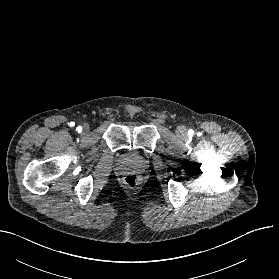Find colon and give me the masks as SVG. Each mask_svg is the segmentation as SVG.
I'll return each instance as SVG.
<instances>
[{
    "instance_id": "colon-1",
    "label": "colon",
    "mask_w": 279,
    "mask_h": 279,
    "mask_svg": "<svg viewBox=\"0 0 279 279\" xmlns=\"http://www.w3.org/2000/svg\"><path fill=\"white\" fill-rule=\"evenodd\" d=\"M123 182L130 188L136 187L140 182V177L137 174L131 173L124 177Z\"/></svg>"
}]
</instances>
